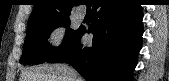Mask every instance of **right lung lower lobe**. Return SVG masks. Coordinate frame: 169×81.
Instances as JSON below:
<instances>
[{
  "instance_id": "98d812e1",
  "label": "right lung lower lobe",
  "mask_w": 169,
  "mask_h": 81,
  "mask_svg": "<svg viewBox=\"0 0 169 81\" xmlns=\"http://www.w3.org/2000/svg\"><path fill=\"white\" fill-rule=\"evenodd\" d=\"M92 47H84L80 27L76 36L47 60L69 63L86 81H132L143 34L142 8L132 0H95Z\"/></svg>"
}]
</instances>
